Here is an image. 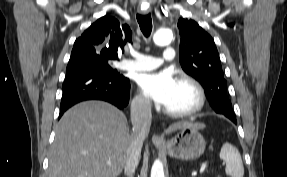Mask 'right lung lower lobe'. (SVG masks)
<instances>
[{
	"mask_svg": "<svg viewBox=\"0 0 287 177\" xmlns=\"http://www.w3.org/2000/svg\"><path fill=\"white\" fill-rule=\"evenodd\" d=\"M129 92V79L122 75L112 77L93 70L68 73L59 117L71 106L86 100H103L123 109L129 102Z\"/></svg>",
	"mask_w": 287,
	"mask_h": 177,
	"instance_id": "obj_1",
	"label": "right lung lower lobe"
}]
</instances>
